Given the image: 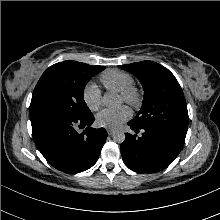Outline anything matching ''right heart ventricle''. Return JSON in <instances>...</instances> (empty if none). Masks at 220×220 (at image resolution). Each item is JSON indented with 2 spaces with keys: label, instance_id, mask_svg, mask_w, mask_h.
I'll list each match as a JSON object with an SVG mask.
<instances>
[{
  "label": "right heart ventricle",
  "instance_id": "right-heart-ventricle-1",
  "mask_svg": "<svg viewBox=\"0 0 220 220\" xmlns=\"http://www.w3.org/2000/svg\"><path fill=\"white\" fill-rule=\"evenodd\" d=\"M99 79L105 89L116 92H121L134 83L131 74L119 69L106 70L100 75Z\"/></svg>",
  "mask_w": 220,
  "mask_h": 220
}]
</instances>
